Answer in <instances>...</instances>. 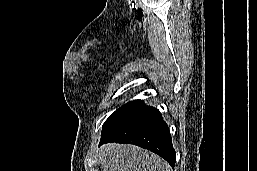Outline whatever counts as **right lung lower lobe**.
I'll return each instance as SVG.
<instances>
[{"instance_id": "98d812e1", "label": "right lung lower lobe", "mask_w": 257, "mask_h": 171, "mask_svg": "<svg viewBox=\"0 0 257 171\" xmlns=\"http://www.w3.org/2000/svg\"><path fill=\"white\" fill-rule=\"evenodd\" d=\"M108 142L140 146L175 166L168 125L157 108L146 106L142 100L132 101L103 125L100 145Z\"/></svg>"}]
</instances>
